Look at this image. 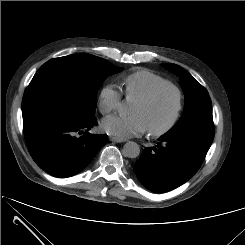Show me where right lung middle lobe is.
I'll return each instance as SVG.
<instances>
[{"label": "right lung middle lobe", "instance_id": "right-lung-middle-lobe-1", "mask_svg": "<svg viewBox=\"0 0 245 245\" xmlns=\"http://www.w3.org/2000/svg\"><path fill=\"white\" fill-rule=\"evenodd\" d=\"M54 65L68 69L63 83H31L22 100L24 130L57 122L86 123L95 118L96 95L101 83L123 70L90 54L65 56Z\"/></svg>", "mask_w": 245, "mask_h": 245}]
</instances>
